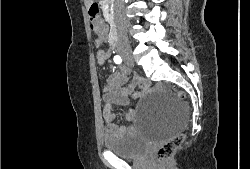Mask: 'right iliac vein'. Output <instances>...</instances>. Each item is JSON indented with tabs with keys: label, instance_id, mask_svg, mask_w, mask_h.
<instances>
[{
	"label": "right iliac vein",
	"instance_id": "1",
	"mask_svg": "<svg viewBox=\"0 0 250 169\" xmlns=\"http://www.w3.org/2000/svg\"><path fill=\"white\" fill-rule=\"evenodd\" d=\"M129 61H130V62H133V58H130Z\"/></svg>",
	"mask_w": 250,
	"mask_h": 169
}]
</instances>
